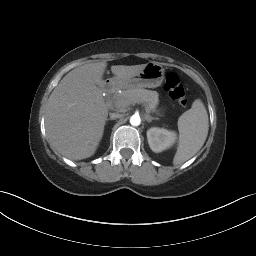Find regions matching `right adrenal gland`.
I'll list each match as a JSON object with an SVG mask.
<instances>
[{
	"instance_id": "2a0ac1e0",
	"label": "right adrenal gland",
	"mask_w": 256,
	"mask_h": 256,
	"mask_svg": "<svg viewBox=\"0 0 256 256\" xmlns=\"http://www.w3.org/2000/svg\"><path fill=\"white\" fill-rule=\"evenodd\" d=\"M108 120H113V119H111V118H108V119H107V121H108Z\"/></svg>"
}]
</instances>
